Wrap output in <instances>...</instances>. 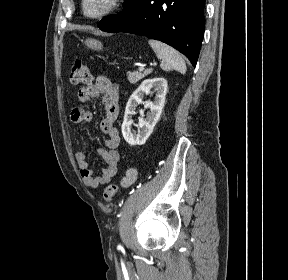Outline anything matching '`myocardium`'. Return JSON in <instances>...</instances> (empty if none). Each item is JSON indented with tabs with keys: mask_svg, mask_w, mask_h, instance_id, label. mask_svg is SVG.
<instances>
[{
	"mask_svg": "<svg viewBox=\"0 0 288 280\" xmlns=\"http://www.w3.org/2000/svg\"><path fill=\"white\" fill-rule=\"evenodd\" d=\"M122 1L123 0H103V4L98 10L91 11L89 10V4L92 0H81V13L84 17L89 19L102 18L115 12L121 6Z\"/></svg>",
	"mask_w": 288,
	"mask_h": 280,
	"instance_id": "obj_1",
	"label": "myocardium"
}]
</instances>
